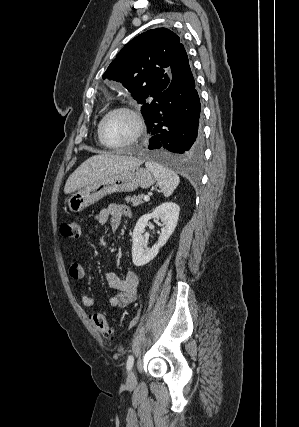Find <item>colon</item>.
I'll return each instance as SVG.
<instances>
[{
    "mask_svg": "<svg viewBox=\"0 0 299 427\" xmlns=\"http://www.w3.org/2000/svg\"><path fill=\"white\" fill-rule=\"evenodd\" d=\"M60 232L62 236L66 238L77 239L81 236V224L78 221L63 223L60 227ZM92 322L97 331L105 339L110 340L113 338V330L104 315L101 313H94L92 315Z\"/></svg>",
    "mask_w": 299,
    "mask_h": 427,
    "instance_id": "5ec220e1",
    "label": "colon"
}]
</instances>
